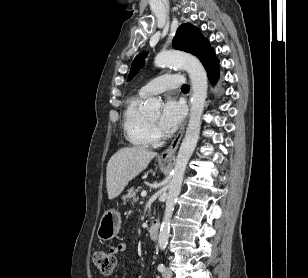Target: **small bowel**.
Returning a JSON list of instances; mask_svg holds the SVG:
<instances>
[{
  "instance_id": "obj_1",
  "label": "small bowel",
  "mask_w": 308,
  "mask_h": 278,
  "mask_svg": "<svg viewBox=\"0 0 308 278\" xmlns=\"http://www.w3.org/2000/svg\"><path fill=\"white\" fill-rule=\"evenodd\" d=\"M110 251L115 255L122 254L127 251V244L126 242H120L117 245L112 246Z\"/></svg>"
}]
</instances>
